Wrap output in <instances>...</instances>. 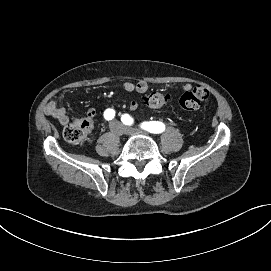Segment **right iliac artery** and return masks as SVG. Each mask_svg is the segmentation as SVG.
<instances>
[{"label":"right iliac artery","instance_id":"82829eb1","mask_svg":"<svg viewBox=\"0 0 271 271\" xmlns=\"http://www.w3.org/2000/svg\"><path fill=\"white\" fill-rule=\"evenodd\" d=\"M115 116V111L113 109H107L105 112H104V118L106 120H112Z\"/></svg>","mask_w":271,"mask_h":271}]
</instances>
